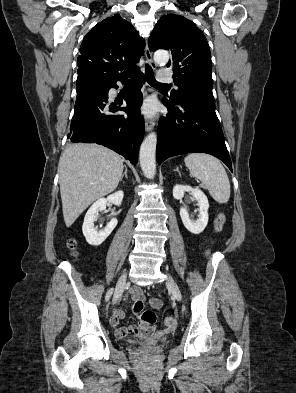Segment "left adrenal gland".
I'll return each instance as SVG.
<instances>
[{"mask_svg": "<svg viewBox=\"0 0 296 393\" xmlns=\"http://www.w3.org/2000/svg\"><path fill=\"white\" fill-rule=\"evenodd\" d=\"M174 171L178 172V174L181 175L178 167Z\"/></svg>", "mask_w": 296, "mask_h": 393, "instance_id": "obj_1", "label": "left adrenal gland"}]
</instances>
